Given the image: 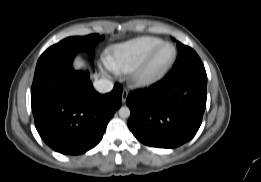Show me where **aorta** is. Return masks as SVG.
<instances>
[{
    "mask_svg": "<svg viewBox=\"0 0 261 182\" xmlns=\"http://www.w3.org/2000/svg\"><path fill=\"white\" fill-rule=\"evenodd\" d=\"M119 116L121 118H128L130 116V109L127 106H123L119 109Z\"/></svg>",
    "mask_w": 261,
    "mask_h": 182,
    "instance_id": "762f6f07",
    "label": "aorta"
}]
</instances>
